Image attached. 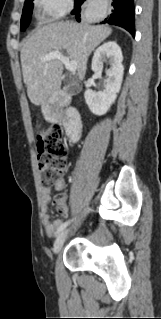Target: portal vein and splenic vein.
<instances>
[{
    "mask_svg": "<svg viewBox=\"0 0 161 319\" xmlns=\"http://www.w3.org/2000/svg\"><path fill=\"white\" fill-rule=\"evenodd\" d=\"M40 59L41 61H50L58 59L65 65L66 69H68L70 72H75L77 69V62L73 60L70 61L68 57H66L59 51H51L48 54L42 56Z\"/></svg>",
    "mask_w": 161,
    "mask_h": 319,
    "instance_id": "18ae733b",
    "label": "portal vein and splenic vein"
}]
</instances>
